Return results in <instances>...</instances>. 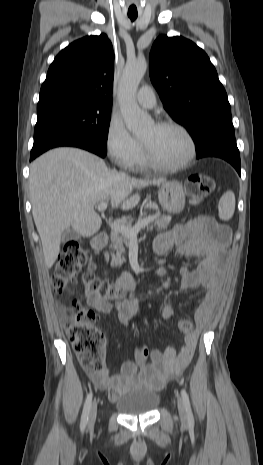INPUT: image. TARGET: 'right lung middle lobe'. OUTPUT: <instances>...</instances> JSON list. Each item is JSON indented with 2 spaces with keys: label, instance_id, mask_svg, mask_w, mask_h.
I'll use <instances>...</instances> for the list:
<instances>
[{
  "label": "right lung middle lobe",
  "instance_id": "obj_1",
  "mask_svg": "<svg viewBox=\"0 0 263 465\" xmlns=\"http://www.w3.org/2000/svg\"><path fill=\"white\" fill-rule=\"evenodd\" d=\"M111 104L99 101L60 97L39 102L34 143L59 134H76L107 153Z\"/></svg>",
  "mask_w": 263,
  "mask_h": 465
}]
</instances>
